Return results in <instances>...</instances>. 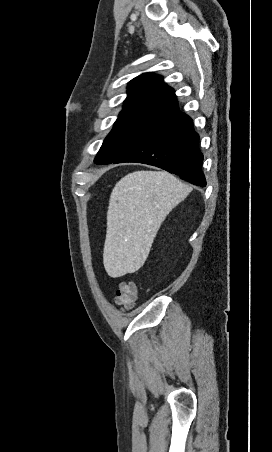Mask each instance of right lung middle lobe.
I'll list each match as a JSON object with an SVG mask.
<instances>
[{"instance_id":"obj_1","label":"right lung middle lobe","mask_w":272,"mask_h":452,"mask_svg":"<svg viewBox=\"0 0 272 452\" xmlns=\"http://www.w3.org/2000/svg\"><path fill=\"white\" fill-rule=\"evenodd\" d=\"M160 115L149 113L121 114L112 131L105 138L96 164H111L126 152L154 123Z\"/></svg>"}]
</instances>
